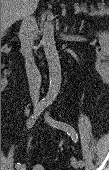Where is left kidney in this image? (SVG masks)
Wrapping results in <instances>:
<instances>
[{"mask_svg": "<svg viewBox=\"0 0 109 170\" xmlns=\"http://www.w3.org/2000/svg\"><path fill=\"white\" fill-rule=\"evenodd\" d=\"M97 35L101 52L97 55L98 59L95 63V68L100 75L107 76L109 73V39L105 32L97 33Z\"/></svg>", "mask_w": 109, "mask_h": 170, "instance_id": "obj_1", "label": "left kidney"}]
</instances>
